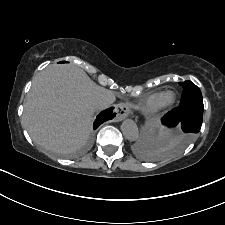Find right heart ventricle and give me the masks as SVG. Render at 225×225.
<instances>
[{"label": "right heart ventricle", "mask_w": 225, "mask_h": 225, "mask_svg": "<svg viewBox=\"0 0 225 225\" xmlns=\"http://www.w3.org/2000/svg\"><path fill=\"white\" fill-rule=\"evenodd\" d=\"M161 94V92H156L146 96L142 101L143 109L145 111H153L158 104Z\"/></svg>", "instance_id": "e07e8e85"}]
</instances>
